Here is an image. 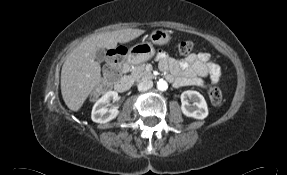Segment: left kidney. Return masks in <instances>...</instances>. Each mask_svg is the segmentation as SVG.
I'll return each instance as SVG.
<instances>
[{
    "label": "left kidney",
    "instance_id": "left-kidney-1",
    "mask_svg": "<svg viewBox=\"0 0 287 175\" xmlns=\"http://www.w3.org/2000/svg\"><path fill=\"white\" fill-rule=\"evenodd\" d=\"M181 103L182 113L187 117L202 120L208 116L207 103L204 97L197 91H184L181 94Z\"/></svg>",
    "mask_w": 287,
    "mask_h": 175
}]
</instances>
